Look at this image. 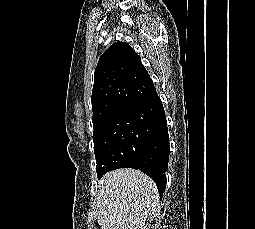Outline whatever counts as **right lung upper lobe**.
Returning <instances> with one entry per match:
<instances>
[{"label": "right lung upper lobe", "mask_w": 255, "mask_h": 229, "mask_svg": "<svg viewBox=\"0 0 255 229\" xmlns=\"http://www.w3.org/2000/svg\"><path fill=\"white\" fill-rule=\"evenodd\" d=\"M156 94L140 56L126 42L112 44L94 73L92 110L94 131L111 116Z\"/></svg>", "instance_id": "cb5924a9"}]
</instances>
